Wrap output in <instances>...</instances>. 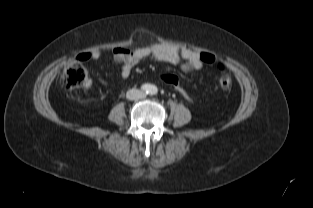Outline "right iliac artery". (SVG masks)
<instances>
[{
  "label": "right iliac artery",
  "mask_w": 313,
  "mask_h": 208,
  "mask_svg": "<svg viewBox=\"0 0 313 208\" xmlns=\"http://www.w3.org/2000/svg\"><path fill=\"white\" fill-rule=\"evenodd\" d=\"M141 89H142L144 92L149 93L150 90H151V85H149V84H143V85L141 86Z\"/></svg>",
  "instance_id": "82829eb1"
}]
</instances>
